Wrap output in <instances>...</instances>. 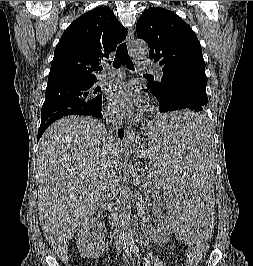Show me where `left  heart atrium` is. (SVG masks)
<instances>
[{
	"mask_svg": "<svg viewBox=\"0 0 253 266\" xmlns=\"http://www.w3.org/2000/svg\"><path fill=\"white\" fill-rule=\"evenodd\" d=\"M109 98L114 107L126 117L140 116L147 107L145 93L132 82L113 86Z\"/></svg>",
	"mask_w": 253,
	"mask_h": 266,
	"instance_id": "39dd6f15",
	"label": "left heart atrium"
}]
</instances>
